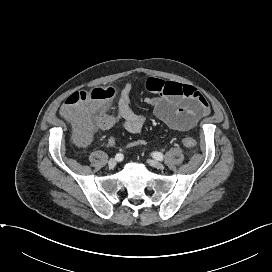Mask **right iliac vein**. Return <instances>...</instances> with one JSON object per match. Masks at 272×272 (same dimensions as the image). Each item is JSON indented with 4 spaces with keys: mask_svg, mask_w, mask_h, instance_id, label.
Listing matches in <instances>:
<instances>
[{
    "mask_svg": "<svg viewBox=\"0 0 272 272\" xmlns=\"http://www.w3.org/2000/svg\"><path fill=\"white\" fill-rule=\"evenodd\" d=\"M116 164H117V161H116V159H114V158H111V159L108 161V166H109V168H114V167L116 166Z\"/></svg>",
    "mask_w": 272,
    "mask_h": 272,
    "instance_id": "obj_1",
    "label": "right iliac vein"
}]
</instances>
